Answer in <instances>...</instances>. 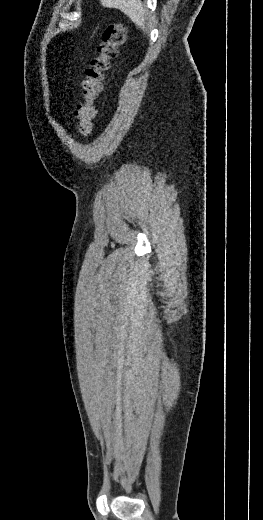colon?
I'll return each mask as SVG.
<instances>
[{"label": "colon", "instance_id": "1", "mask_svg": "<svg viewBox=\"0 0 263 520\" xmlns=\"http://www.w3.org/2000/svg\"><path fill=\"white\" fill-rule=\"evenodd\" d=\"M126 38V29L122 23H109L98 46V55L94 57L85 71L83 81L84 102L75 110L78 132L88 137L91 135L96 116L95 101L101 92L104 73L109 69L110 62L116 58L119 47Z\"/></svg>", "mask_w": 263, "mask_h": 520}]
</instances>
